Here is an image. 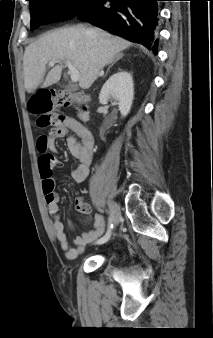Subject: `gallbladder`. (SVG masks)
Segmentation results:
<instances>
[{"label": "gallbladder", "instance_id": "1", "mask_svg": "<svg viewBox=\"0 0 213 338\" xmlns=\"http://www.w3.org/2000/svg\"><path fill=\"white\" fill-rule=\"evenodd\" d=\"M66 89H67V90H71V88H70V87H66Z\"/></svg>", "mask_w": 213, "mask_h": 338}]
</instances>
